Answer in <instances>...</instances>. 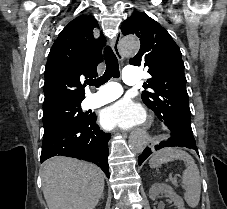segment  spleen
<instances>
[{"label":"spleen","instance_id":"1","mask_svg":"<svg viewBox=\"0 0 227 209\" xmlns=\"http://www.w3.org/2000/svg\"><path fill=\"white\" fill-rule=\"evenodd\" d=\"M171 161H184L186 165L185 171H183V189H185L184 199L191 209H195L200 201L201 193V177L197 165H195L194 159L191 155H188L186 151L181 149H172V147H166V149H160L152 155V159L149 161V167L156 169L161 167L164 163H171Z\"/></svg>","mask_w":227,"mask_h":209}]
</instances>
